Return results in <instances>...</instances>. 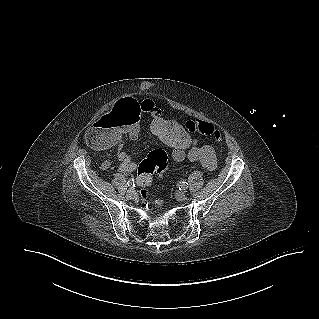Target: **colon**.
Returning a JSON list of instances; mask_svg holds the SVG:
<instances>
[{
	"mask_svg": "<svg viewBox=\"0 0 319 319\" xmlns=\"http://www.w3.org/2000/svg\"><path fill=\"white\" fill-rule=\"evenodd\" d=\"M149 133L165 146L175 148L180 152H188L196 149L200 143V136L210 137L215 142H220L223 131L208 121L194 117H186L182 125L165 113L153 115L149 121ZM195 133L199 135H190ZM169 165V156L162 149L152 150L139 164L136 183L141 187L142 198L147 197V188L152 182L153 174H163Z\"/></svg>",
	"mask_w": 319,
	"mask_h": 319,
	"instance_id": "colon-1",
	"label": "colon"
}]
</instances>
